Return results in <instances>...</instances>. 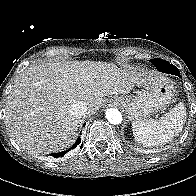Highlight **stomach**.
Listing matches in <instances>:
<instances>
[{
	"instance_id": "obj_1",
	"label": "stomach",
	"mask_w": 196,
	"mask_h": 196,
	"mask_svg": "<svg viewBox=\"0 0 196 196\" xmlns=\"http://www.w3.org/2000/svg\"><path fill=\"white\" fill-rule=\"evenodd\" d=\"M138 85L144 87L138 95H115L109 100L111 103L120 105L130 120H142L165 110L174 97L173 83L165 77H141Z\"/></svg>"
}]
</instances>
